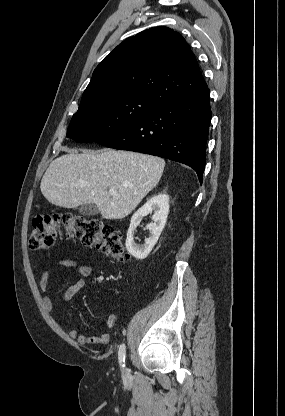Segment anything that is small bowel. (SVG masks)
Wrapping results in <instances>:
<instances>
[{
  "mask_svg": "<svg viewBox=\"0 0 285 416\" xmlns=\"http://www.w3.org/2000/svg\"><path fill=\"white\" fill-rule=\"evenodd\" d=\"M56 266L61 267L64 271L77 274L78 279L70 285L61 295V300L67 302L71 300L84 286L85 279L92 274V267L87 264L78 263L74 260H60ZM54 274L52 270H46L40 277L39 287L43 293L42 304L47 313L53 312V301L45 295L51 288ZM117 322V317L114 314H110L106 319L107 328H113ZM70 338L77 340L80 345H105L109 342L110 336L108 333H102L99 336H89L80 333L77 329H70L68 331Z\"/></svg>",
  "mask_w": 285,
  "mask_h": 416,
  "instance_id": "1",
  "label": "small bowel"
}]
</instances>
